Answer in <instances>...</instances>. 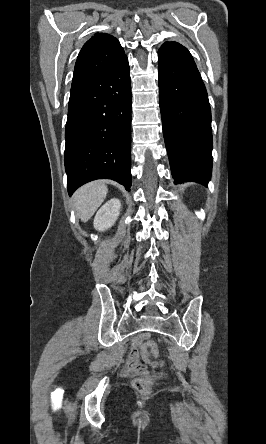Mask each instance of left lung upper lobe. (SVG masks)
Here are the masks:
<instances>
[{
    "mask_svg": "<svg viewBox=\"0 0 266 444\" xmlns=\"http://www.w3.org/2000/svg\"><path fill=\"white\" fill-rule=\"evenodd\" d=\"M161 54L170 56L175 59H179L182 61H190L194 62V59L190 52L181 44L177 42H165L161 48L159 49V52Z\"/></svg>",
    "mask_w": 266,
    "mask_h": 444,
    "instance_id": "1",
    "label": "left lung upper lobe"
}]
</instances>
